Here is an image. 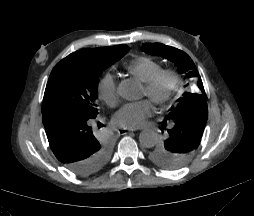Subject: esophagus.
<instances>
[{
    "label": "esophagus",
    "instance_id": "1",
    "mask_svg": "<svg viewBox=\"0 0 254 216\" xmlns=\"http://www.w3.org/2000/svg\"><path fill=\"white\" fill-rule=\"evenodd\" d=\"M129 131H133V130H129ZM124 134H126V132H124Z\"/></svg>",
    "mask_w": 254,
    "mask_h": 216
}]
</instances>
